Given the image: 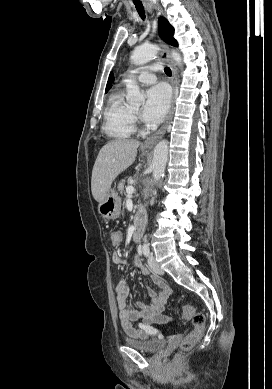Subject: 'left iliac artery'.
Here are the masks:
<instances>
[{
	"mask_svg": "<svg viewBox=\"0 0 272 389\" xmlns=\"http://www.w3.org/2000/svg\"><path fill=\"white\" fill-rule=\"evenodd\" d=\"M143 254L147 257L149 256L150 249H149V244L145 243L142 247Z\"/></svg>",
	"mask_w": 272,
	"mask_h": 389,
	"instance_id": "obj_1",
	"label": "left iliac artery"
}]
</instances>
